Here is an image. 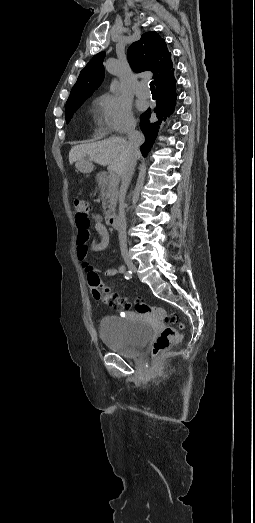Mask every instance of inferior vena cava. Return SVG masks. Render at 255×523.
I'll return each instance as SVG.
<instances>
[{
    "mask_svg": "<svg viewBox=\"0 0 255 523\" xmlns=\"http://www.w3.org/2000/svg\"><path fill=\"white\" fill-rule=\"evenodd\" d=\"M136 126H129L127 130L128 134V144L124 152V168L120 172L121 176V188H120V206H119V216L117 220V230L119 234V244L121 254L127 252V238H126V218H125V196L127 188L131 182V178L134 174V168L136 164V154L139 152V146L144 142V136L141 132L135 130Z\"/></svg>",
    "mask_w": 255,
    "mask_h": 523,
    "instance_id": "inferior-vena-cava-1",
    "label": "inferior vena cava"
}]
</instances>
